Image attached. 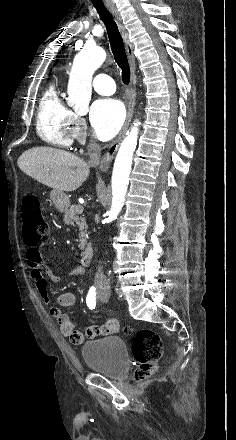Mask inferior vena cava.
<instances>
[{
    "instance_id": "inferior-vena-cava-1",
    "label": "inferior vena cava",
    "mask_w": 236,
    "mask_h": 440,
    "mask_svg": "<svg viewBox=\"0 0 236 440\" xmlns=\"http://www.w3.org/2000/svg\"><path fill=\"white\" fill-rule=\"evenodd\" d=\"M88 154L90 157V160L88 162V164L92 167H96L99 165L100 162V156H101V148L100 146L96 143V141L91 140L90 143L88 144ZM109 280L106 278V276L104 275L103 271H102V267L99 266L97 269V272L95 274V285L97 288H103V287H109Z\"/></svg>"
}]
</instances>
